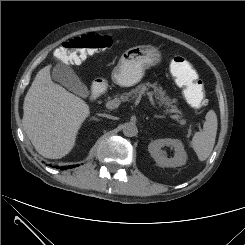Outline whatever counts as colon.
I'll return each instance as SVG.
<instances>
[{
    "mask_svg": "<svg viewBox=\"0 0 245 245\" xmlns=\"http://www.w3.org/2000/svg\"><path fill=\"white\" fill-rule=\"evenodd\" d=\"M112 44L110 37L97 33H88L74 37L63 43L56 50V58L65 63H80L87 56L109 48ZM186 59L173 58L171 70L177 82L182 86L183 93L189 105L199 108L206 103V93L202 80L197 77L185 78L182 71ZM176 70V73L174 72Z\"/></svg>",
    "mask_w": 245,
    "mask_h": 245,
    "instance_id": "obj_1",
    "label": "colon"
}]
</instances>
